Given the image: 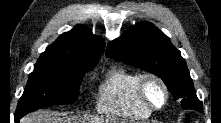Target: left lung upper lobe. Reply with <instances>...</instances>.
<instances>
[{
  "mask_svg": "<svg viewBox=\"0 0 221 123\" xmlns=\"http://www.w3.org/2000/svg\"><path fill=\"white\" fill-rule=\"evenodd\" d=\"M106 56L155 74L163 80L176 100L182 98L184 109L202 112V105L180 51L152 23L140 22L111 41Z\"/></svg>",
  "mask_w": 221,
  "mask_h": 123,
  "instance_id": "5c2ea615",
  "label": "left lung upper lobe"
}]
</instances>
